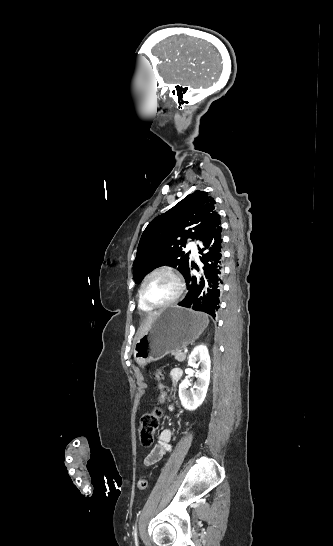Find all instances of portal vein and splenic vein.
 <instances>
[{
    "mask_svg": "<svg viewBox=\"0 0 333 546\" xmlns=\"http://www.w3.org/2000/svg\"><path fill=\"white\" fill-rule=\"evenodd\" d=\"M188 352V349H184V353H187Z\"/></svg>",
    "mask_w": 333,
    "mask_h": 546,
    "instance_id": "obj_1",
    "label": "portal vein and splenic vein"
}]
</instances>
